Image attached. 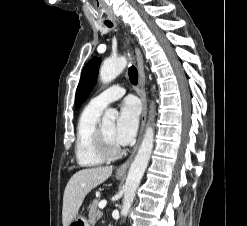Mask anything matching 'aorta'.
Masks as SVG:
<instances>
[{
  "label": "aorta",
  "mask_w": 247,
  "mask_h": 226,
  "mask_svg": "<svg viewBox=\"0 0 247 226\" xmlns=\"http://www.w3.org/2000/svg\"><path fill=\"white\" fill-rule=\"evenodd\" d=\"M127 60L124 57L108 59L104 61L100 69V79L103 83H109L114 80L126 67ZM118 113L114 109L105 111L102 117L104 125L114 124ZM152 119V116H151ZM154 141V129L152 126H147L143 140L138 149V152L129 168L126 182L124 185V197L121 214L126 217L130 207L134 201L136 190L141 182L142 176L147 168Z\"/></svg>",
  "instance_id": "obj_1"
}]
</instances>
